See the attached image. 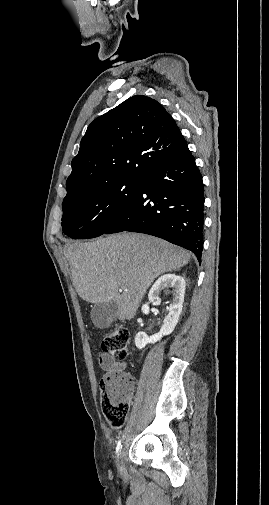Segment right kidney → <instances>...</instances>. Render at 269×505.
<instances>
[{
  "mask_svg": "<svg viewBox=\"0 0 269 505\" xmlns=\"http://www.w3.org/2000/svg\"><path fill=\"white\" fill-rule=\"evenodd\" d=\"M172 288L173 301L169 306L168 315L163 321L160 331L152 336H148L145 332H138L135 337V345L138 349L144 348L147 344H154L161 340L163 336L169 335L176 327L180 314L182 312V305L185 295V280L182 276L175 274H165L159 277L151 287L148 299L149 302H159V294L162 290ZM149 302L142 306L144 314L149 313Z\"/></svg>",
  "mask_w": 269,
  "mask_h": 505,
  "instance_id": "obj_1",
  "label": "right kidney"
}]
</instances>
